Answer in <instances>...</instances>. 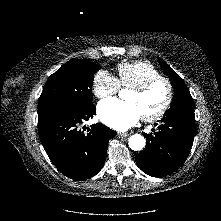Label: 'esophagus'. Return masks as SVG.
Instances as JSON below:
<instances>
[{"label": "esophagus", "mask_w": 221, "mask_h": 221, "mask_svg": "<svg viewBox=\"0 0 221 221\" xmlns=\"http://www.w3.org/2000/svg\"><path fill=\"white\" fill-rule=\"evenodd\" d=\"M127 136H129V133H127V132H125V133L119 132L118 133V137H120V138L127 137Z\"/></svg>", "instance_id": "obj_1"}]
</instances>
